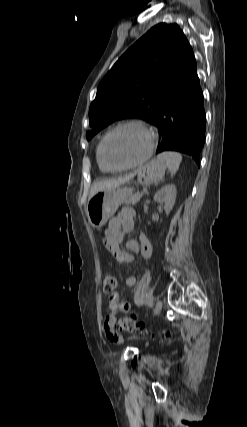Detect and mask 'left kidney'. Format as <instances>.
<instances>
[{"label": "left kidney", "instance_id": "left-kidney-1", "mask_svg": "<svg viewBox=\"0 0 247 427\" xmlns=\"http://www.w3.org/2000/svg\"><path fill=\"white\" fill-rule=\"evenodd\" d=\"M176 194V186L174 184H167L154 195V200L164 206L167 215H169L173 209L176 201Z\"/></svg>", "mask_w": 247, "mask_h": 427}]
</instances>
